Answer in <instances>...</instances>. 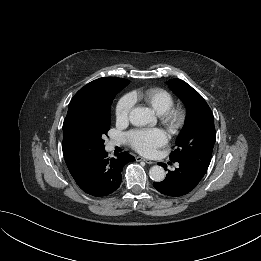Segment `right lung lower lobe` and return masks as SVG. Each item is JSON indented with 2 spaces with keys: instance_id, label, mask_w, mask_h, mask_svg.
I'll list each match as a JSON object with an SVG mask.
<instances>
[{
  "instance_id": "obj_1",
  "label": "right lung lower lobe",
  "mask_w": 261,
  "mask_h": 261,
  "mask_svg": "<svg viewBox=\"0 0 261 261\" xmlns=\"http://www.w3.org/2000/svg\"><path fill=\"white\" fill-rule=\"evenodd\" d=\"M132 161L135 158L127 152L117 154L116 158H109L104 149L81 159L68 169L84 192L101 197L113 193L119 187L121 171Z\"/></svg>"
}]
</instances>
